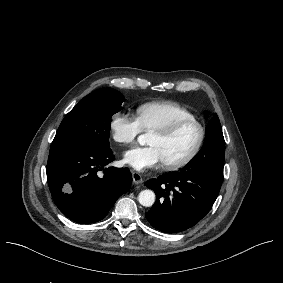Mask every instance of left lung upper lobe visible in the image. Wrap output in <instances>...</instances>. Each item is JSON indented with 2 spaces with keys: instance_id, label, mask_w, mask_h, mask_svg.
<instances>
[{
  "instance_id": "1",
  "label": "left lung upper lobe",
  "mask_w": 283,
  "mask_h": 283,
  "mask_svg": "<svg viewBox=\"0 0 283 283\" xmlns=\"http://www.w3.org/2000/svg\"><path fill=\"white\" fill-rule=\"evenodd\" d=\"M205 117H208V113H206ZM224 155L225 141L221 124L217 114H214L206 126L205 142L203 147L183 169L190 168L194 171H203L204 169L202 164L204 162H211L210 166L213 170L211 171V175L216 182L222 184ZM213 164H216V166H213Z\"/></svg>"
}]
</instances>
